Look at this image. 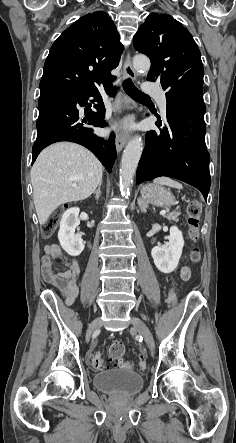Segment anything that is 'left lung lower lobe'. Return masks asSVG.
I'll use <instances>...</instances> for the list:
<instances>
[{
    "label": "left lung lower lobe",
    "instance_id": "left-lung-lower-lobe-1",
    "mask_svg": "<svg viewBox=\"0 0 236 443\" xmlns=\"http://www.w3.org/2000/svg\"><path fill=\"white\" fill-rule=\"evenodd\" d=\"M166 98L167 124L160 132L146 133L136 185L160 176L173 177L198 188L207 201L211 178L203 91L181 90Z\"/></svg>",
    "mask_w": 236,
    "mask_h": 443
}]
</instances>
